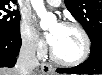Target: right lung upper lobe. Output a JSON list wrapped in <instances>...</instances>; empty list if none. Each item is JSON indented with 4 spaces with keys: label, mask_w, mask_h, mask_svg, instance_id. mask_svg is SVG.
Instances as JSON below:
<instances>
[{
    "label": "right lung upper lobe",
    "mask_w": 102,
    "mask_h": 75,
    "mask_svg": "<svg viewBox=\"0 0 102 75\" xmlns=\"http://www.w3.org/2000/svg\"><path fill=\"white\" fill-rule=\"evenodd\" d=\"M0 2H16V0H0Z\"/></svg>",
    "instance_id": "cb5924a9"
}]
</instances>
